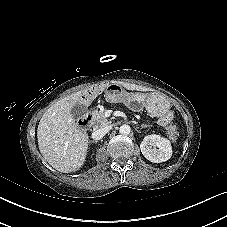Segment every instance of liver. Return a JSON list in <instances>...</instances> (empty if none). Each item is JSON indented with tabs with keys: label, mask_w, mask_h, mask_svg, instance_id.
Here are the masks:
<instances>
[{
	"label": "liver",
	"mask_w": 227,
	"mask_h": 227,
	"mask_svg": "<svg viewBox=\"0 0 227 227\" xmlns=\"http://www.w3.org/2000/svg\"><path fill=\"white\" fill-rule=\"evenodd\" d=\"M126 89L142 91L136 85L126 84ZM86 91L71 94L51 106L42 116L37 139L44 159L59 172L71 173L85 162L89 136L81 130L72 115V108L82 103Z\"/></svg>",
	"instance_id": "obj_1"
}]
</instances>
